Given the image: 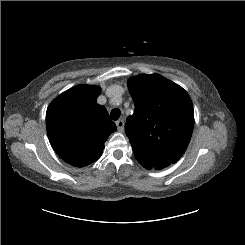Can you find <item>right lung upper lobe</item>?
Returning a JSON list of instances; mask_svg holds the SVG:
<instances>
[{
	"mask_svg": "<svg viewBox=\"0 0 245 245\" xmlns=\"http://www.w3.org/2000/svg\"><path fill=\"white\" fill-rule=\"evenodd\" d=\"M100 87L77 85L60 94L46 112L48 138L65 162L83 167L96 161L116 131L106 109L97 104Z\"/></svg>",
	"mask_w": 245,
	"mask_h": 245,
	"instance_id": "obj_1",
	"label": "right lung upper lobe"
}]
</instances>
